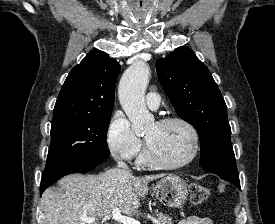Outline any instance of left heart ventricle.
<instances>
[{"label":"left heart ventricle","instance_id":"left-heart-ventricle-1","mask_svg":"<svg viewBox=\"0 0 275 224\" xmlns=\"http://www.w3.org/2000/svg\"><path fill=\"white\" fill-rule=\"evenodd\" d=\"M144 137L154 156L164 163L183 162L192 152L191 134L180 123L174 122L164 126L154 123Z\"/></svg>","mask_w":275,"mask_h":224}]
</instances>
